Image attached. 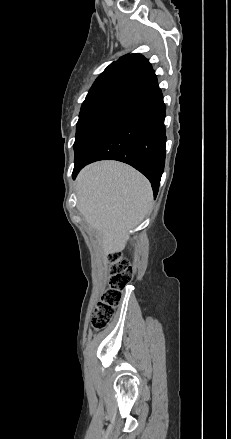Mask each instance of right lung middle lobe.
<instances>
[{"label": "right lung middle lobe", "instance_id": "right-lung-middle-lobe-1", "mask_svg": "<svg viewBox=\"0 0 231 439\" xmlns=\"http://www.w3.org/2000/svg\"><path fill=\"white\" fill-rule=\"evenodd\" d=\"M141 112L135 95L109 96L82 104L73 145L75 161L106 131Z\"/></svg>", "mask_w": 231, "mask_h": 439}]
</instances>
